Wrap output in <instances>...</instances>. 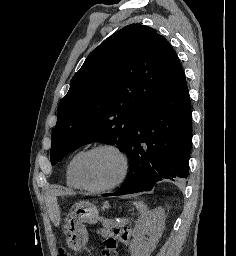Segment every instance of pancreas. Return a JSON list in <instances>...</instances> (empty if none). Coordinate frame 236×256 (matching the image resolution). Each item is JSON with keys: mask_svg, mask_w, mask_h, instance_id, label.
I'll return each instance as SVG.
<instances>
[{"mask_svg": "<svg viewBox=\"0 0 236 256\" xmlns=\"http://www.w3.org/2000/svg\"><path fill=\"white\" fill-rule=\"evenodd\" d=\"M98 236H105V231H98Z\"/></svg>", "mask_w": 236, "mask_h": 256, "instance_id": "pancreas-1", "label": "pancreas"}]
</instances>
